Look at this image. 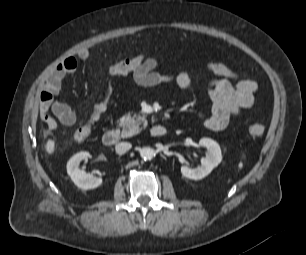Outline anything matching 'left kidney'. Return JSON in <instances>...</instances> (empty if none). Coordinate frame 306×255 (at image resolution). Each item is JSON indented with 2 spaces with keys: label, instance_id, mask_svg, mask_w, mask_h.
<instances>
[{
  "label": "left kidney",
  "instance_id": "5707ae66",
  "mask_svg": "<svg viewBox=\"0 0 306 255\" xmlns=\"http://www.w3.org/2000/svg\"><path fill=\"white\" fill-rule=\"evenodd\" d=\"M199 145L206 148V156L201 159V165L197 168H190L188 166L181 167V173L184 177L192 180H200L211 173V171L218 166L222 160L221 149L219 144L210 139L202 138Z\"/></svg>",
  "mask_w": 306,
  "mask_h": 255
}]
</instances>
